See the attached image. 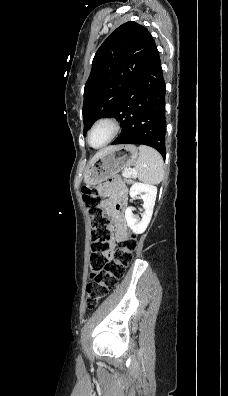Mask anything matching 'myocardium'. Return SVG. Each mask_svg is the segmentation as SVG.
<instances>
[{"mask_svg": "<svg viewBox=\"0 0 228 396\" xmlns=\"http://www.w3.org/2000/svg\"><path fill=\"white\" fill-rule=\"evenodd\" d=\"M100 125H106L110 129V134L107 140L100 146H93L90 142L91 134L94 131V129ZM121 130V125L119 121L113 117V116H103L99 119H97L90 127L88 133H87V143L90 147L93 149H102L106 146H108L111 142H113L116 137L118 136L119 132Z\"/></svg>", "mask_w": 228, "mask_h": 396, "instance_id": "myocardium-1", "label": "myocardium"}]
</instances>
